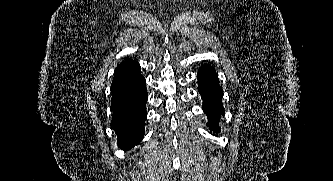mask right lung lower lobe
Segmentation results:
<instances>
[{"label": "right lung lower lobe", "instance_id": "right-lung-lower-lobe-1", "mask_svg": "<svg viewBox=\"0 0 333 181\" xmlns=\"http://www.w3.org/2000/svg\"><path fill=\"white\" fill-rule=\"evenodd\" d=\"M113 113L111 128L117 133V143L123 150L137 145L144 136L147 116V90L142 75L111 88Z\"/></svg>", "mask_w": 333, "mask_h": 181}]
</instances>
